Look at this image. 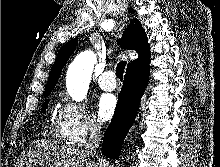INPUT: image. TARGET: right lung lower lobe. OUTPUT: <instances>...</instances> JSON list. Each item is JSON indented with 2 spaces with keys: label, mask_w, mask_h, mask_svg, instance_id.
<instances>
[{
  "label": "right lung lower lobe",
  "mask_w": 220,
  "mask_h": 167,
  "mask_svg": "<svg viewBox=\"0 0 220 167\" xmlns=\"http://www.w3.org/2000/svg\"><path fill=\"white\" fill-rule=\"evenodd\" d=\"M148 75L149 64L126 71L113 119L103 139V154L108 158L119 159L126 134L135 120Z\"/></svg>",
  "instance_id": "1"
}]
</instances>
